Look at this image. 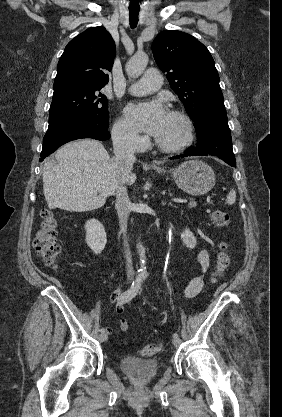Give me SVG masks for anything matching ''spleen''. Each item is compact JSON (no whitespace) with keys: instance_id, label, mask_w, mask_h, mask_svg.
<instances>
[{"instance_id":"1","label":"spleen","mask_w":282,"mask_h":417,"mask_svg":"<svg viewBox=\"0 0 282 417\" xmlns=\"http://www.w3.org/2000/svg\"><path fill=\"white\" fill-rule=\"evenodd\" d=\"M236 200V192L235 190H230L229 194H227V202L228 204H233V202H235Z\"/></svg>"}]
</instances>
